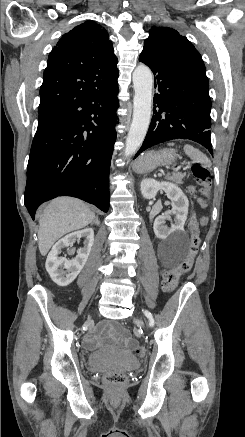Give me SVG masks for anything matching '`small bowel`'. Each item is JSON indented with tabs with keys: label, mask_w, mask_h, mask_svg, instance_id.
<instances>
[{
	"label": "small bowel",
	"mask_w": 245,
	"mask_h": 437,
	"mask_svg": "<svg viewBox=\"0 0 245 437\" xmlns=\"http://www.w3.org/2000/svg\"><path fill=\"white\" fill-rule=\"evenodd\" d=\"M203 222H205V220H203ZM189 228L191 230H195L197 228V221L194 215H192L190 218ZM99 331L108 337H112L113 339L120 341L127 348H131L135 345V341L130 338L127 331L123 329H116L108 324H103ZM89 342L92 343L93 339H89Z\"/></svg>",
	"instance_id": "small-bowel-1"
}]
</instances>
